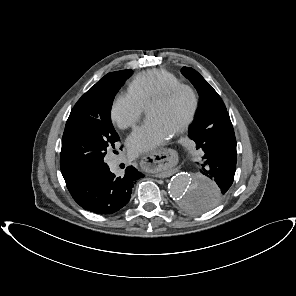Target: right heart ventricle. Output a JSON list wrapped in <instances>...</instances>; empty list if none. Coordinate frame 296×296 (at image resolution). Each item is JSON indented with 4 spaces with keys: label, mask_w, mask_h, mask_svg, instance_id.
Wrapping results in <instances>:
<instances>
[{
    "label": "right heart ventricle",
    "mask_w": 296,
    "mask_h": 296,
    "mask_svg": "<svg viewBox=\"0 0 296 296\" xmlns=\"http://www.w3.org/2000/svg\"><path fill=\"white\" fill-rule=\"evenodd\" d=\"M179 83L181 81L174 74L153 69L137 75L129 84L128 93L144 107L150 99Z\"/></svg>",
    "instance_id": "1"
}]
</instances>
